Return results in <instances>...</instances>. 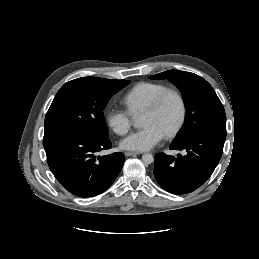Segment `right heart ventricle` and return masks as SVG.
I'll use <instances>...</instances> for the list:
<instances>
[{
  "label": "right heart ventricle",
  "mask_w": 259,
  "mask_h": 259,
  "mask_svg": "<svg viewBox=\"0 0 259 259\" xmlns=\"http://www.w3.org/2000/svg\"><path fill=\"white\" fill-rule=\"evenodd\" d=\"M168 87L158 82H141L131 88L124 96L127 110L136 116L144 112Z\"/></svg>",
  "instance_id": "obj_1"
}]
</instances>
